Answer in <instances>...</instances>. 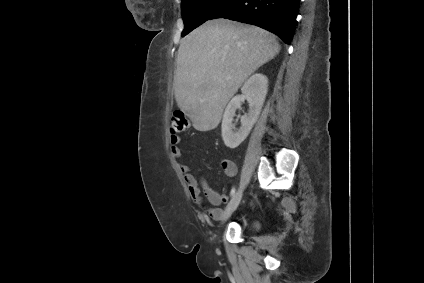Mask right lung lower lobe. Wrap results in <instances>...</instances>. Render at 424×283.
<instances>
[{
	"label": "right lung lower lobe",
	"instance_id": "right-lung-lower-lobe-1",
	"mask_svg": "<svg viewBox=\"0 0 424 283\" xmlns=\"http://www.w3.org/2000/svg\"><path fill=\"white\" fill-rule=\"evenodd\" d=\"M300 0H228L209 20L226 18L253 24L291 43Z\"/></svg>",
	"mask_w": 424,
	"mask_h": 283
}]
</instances>
